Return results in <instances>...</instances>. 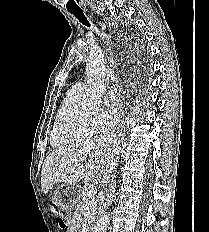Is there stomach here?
<instances>
[{"instance_id":"1","label":"stomach","mask_w":209,"mask_h":232,"mask_svg":"<svg viewBox=\"0 0 209 232\" xmlns=\"http://www.w3.org/2000/svg\"><path fill=\"white\" fill-rule=\"evenodd\" d=\"M84 191V186H59L56 188L55 198L53 202L60 209H68L77 206L78 199Z\"/></svg>"}]
</instances>
